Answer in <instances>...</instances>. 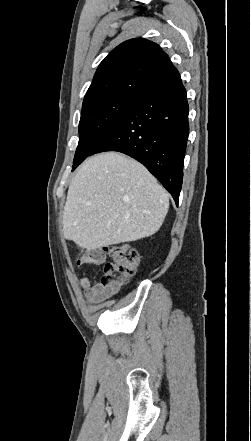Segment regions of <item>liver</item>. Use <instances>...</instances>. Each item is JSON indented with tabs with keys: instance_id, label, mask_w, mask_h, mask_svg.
<instances>
[{
	"instance_id": "obj_1",
	"label": "liver",
	"mask_w": 251,
	"mask_h": 441,
	"mask_svg": "<svg viewBox=\"0 0 251 441\" xmlns=\"http://www.w3.org/2000/svg\"><path fill=\"white\" fill-rule=\"evenodd\" d=\"M168 208V194L142 164L101 153L88 158L70 183L64 237L87 250L139 240L160 229Z\"/></svg>"
}]
</instances>
